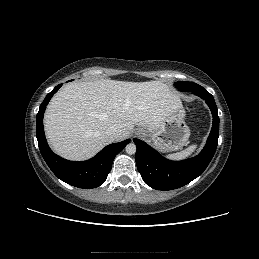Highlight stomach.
<instances>
[{
    "label": "stomach",
    "mask_w": 259,
    "mask_h": 259,
    "mask_svg": "<svg viewBox=\"0 0 259 259\" xmlns=\"http://www.w3.org/2000/svg\"><path fill=\"white\" fill-rule=\"evenodd\" d=\"M185 110L180 103L172 109L159 128L154 131L139 129L144 137L160 152H172L181 149L188 143L190 129L185 122Z\"/></svg>",
    "instance_id": "0dacf381"
}]
</instances>
